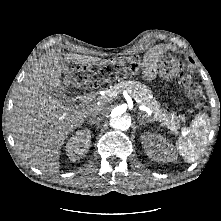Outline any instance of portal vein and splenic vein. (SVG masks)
I'll use <instances>...</instances> for the list:
<instances>
[{"mask_svg": "<svg viewBox=\"0 0 221 221\" xmlns=\"http://www.w3.org/2000/svg\"><path fill=\"white\" fill-rule=\"evenodd\" d=\"M115 96H117V94H115ZM133 98H134V100H135L138 104H140V100H139L138 98H136V97H133ZM139 110H140V111H145L149 116L152 115V111H151L148 107H146V106L139 105ZM182 134H183V135H186V134H187V129H186V128H183V129H182Z\"/></svg>", "mask_w": 221, "mask_h": 221, "instance_id": "portal-vein-and-splenic-vein-1", "label": "portal vein and splenic vein"}]
</instances>
